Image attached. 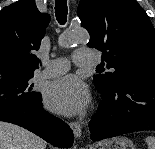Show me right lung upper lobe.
<instances>
[{
    "mask_svg": "<svg viewBox=\"0 0 155 149\" xmlns=\"http://www.w3.org/2000/svg\"><path fill=\"white\" fill-rule=\"evenodd\" d=\"M50 16L38 11L34 0H19L0 11V68L34 73L38 50Z\"/></svg>",
    "mask_w": 155,
    "mask_h": 149,
    "instance_id": "right-lung-upper-lobe-1",
    "label": "right lung upper lobe"
}]
</instances>
